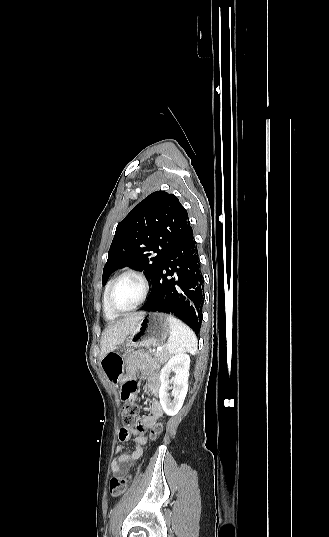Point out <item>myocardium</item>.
I'll list each match as a JSON object with an SVG mask.
<instances>
[{
  "mask_svg": "<svg viewBox=\"0 0 329 537\" xmlns=\"http://www.w3.org/2000/svg\"><path fill=\"white\" fill-rule=\"evenodd\" d=\"M126 276H134L136 278L139 279V281L141 282L142 284V287H143V292H142V295H141V298L138 300V302L136 304H134L132 307L126 309V310H120V309H117L114 305H113V302H112V295H113V291L116 287V285L118 284V282L126 277ZM149 288H150V285H149V281H148V278L146 277V275L139 271V270H136V269H128V270H125L123 271L122 273H120L111 283L109 289H108V293H107V305L109 307V309L115 313V314H125V313H128L130 311H133L134 309H136L137 307H139L146 299L147 295H148V292H149Z\"/></svg>",
  "mask_w": 329,
  "mask_h": 537,
  "instance_id": "obj_1",
  "label": "myocardium"
}]
</instances>
